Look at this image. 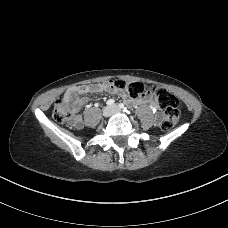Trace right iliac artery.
I'll return each mask as SVG.
<instances>
[{"label": "right iliac artery", "instance_id": "right-iliac-artery-1", "mask_svg": "<svg viewBox=\"0 0 228 228\" xmlns=\"http://www.w3.org/2000/svg\"><path fill=\"white\" fill-rule=\"evenodd\" d=\"M114 102H115V100L109 99V100L106 102V104H107L108 106H111V105L114 104Z\"/></svg>", "mask_w": 228, "mask_h": 228}]
</instances>
